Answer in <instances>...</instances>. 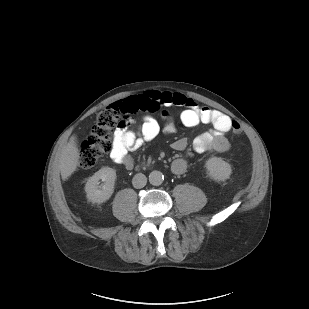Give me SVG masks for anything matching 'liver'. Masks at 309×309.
I'll return each instance as SVG.
<instances>
[{
	"label": "liver",
	"mask_w": 309,
	"mask_h": 309,
	"mask_svg": "<svg viewBox=\"0 0 309 309\" xmlns=\"http://www.w3.org/2000/svg\"><path fill=\"white\" fill-rule=\"evenodd\" d=\"M76 137L73 135L69 143L62 150L60 157V171L62 180H67L79 166V149L75 142Z\"/></svg>",
	"instance_id": "6515ba94"
}]
</instances>
